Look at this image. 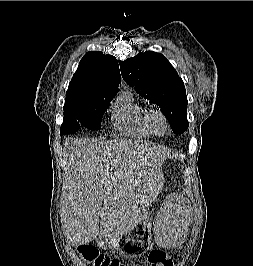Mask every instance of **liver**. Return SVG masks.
Returning a JSON list of instances; mask_svg holds the SVG:
<instances>
[{
	"label": "liver",
	"mask_w": 253,
	"mask_h": 266,
	"mask_svg": "<svg viewBox=\"0 0 253 266\" xmlns=\"http://www.w3.org/2000/svg\"><path fill=\"white\" fill-rule=\"evenodd\" d=\"M64 223L72 245L115 240L143 220L169 151L131 140L68 139ZM100 222V225H99ZM167 247V246H164Z\"/></svg>",
	"instance_id": "1"
}]
</instances>
